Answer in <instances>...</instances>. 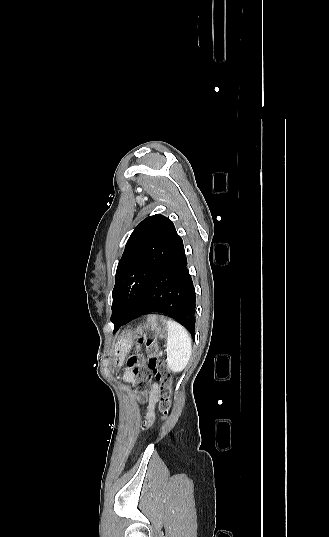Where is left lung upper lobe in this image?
<instances>
[{
    "label": "left lung upper lobe",
    "mask_w": 329,
    "mask_h": 537,
    "mask_svg": "<svg viewBox=\"0 0 329 537\" xmlns=\"http://www.w3.org/2000/svg\"><path fill=\"white\" fill-rule=\"evenodd\" d=\"M183 247L174 224L156 214L138 224L118 263L112 292L114 332L142 297L158 271Z\"/></svg>",
    "instance_id": "left-lung-upper-lobe-1"
}]
</instances>
